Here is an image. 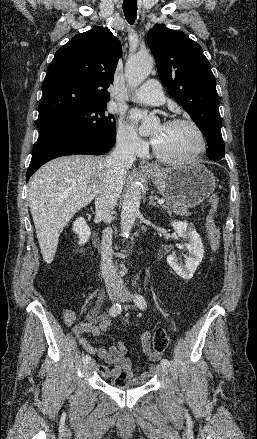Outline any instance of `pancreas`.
<instances>
[{"label":"pancreas","mask_w":257,"mask_h":439,"mask_svg":"<svg viewBox=\"0 0 257 439\" xmlns=\"http://www.w3.org/2000/svg\"><path fill=\"white\" fill-rule=\"evenodd\" d=\"M162 208L167 211L169 214H177L180 216H190L191 213L188 211L187 208L179 206V204L175 202H171L170 200H167L166 204L162 205Z\"/></svg>","instance_id":"pancreas-1"}]
</instances>
